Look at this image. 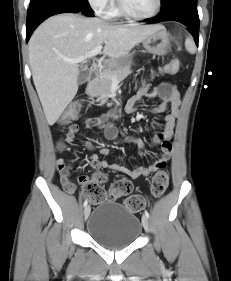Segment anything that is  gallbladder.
I'll use <instances>...</instances> for the list:
<instances>
[{
  "label": "gallbladder",
  "instance_id": "gallbladder-1",
  "mask_svg": "<svg viewBox=\"0 0 231 281\" xmlns=\"http://www.w3.org/2000/svg\"><path fill=\"white\" fill-rule=\"evenodd\" d=\"M88 78H89V73H88V71H86V70H81V71L79 72L77 82H78V84H83V83H85V82L88 80Z\"/></svg>",
  "mask_w": 231,
  "mask_h": 281
}]
</instances>
